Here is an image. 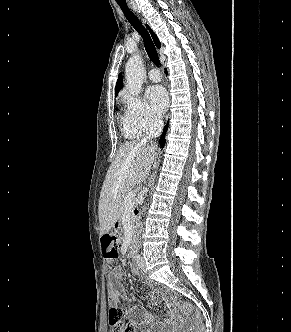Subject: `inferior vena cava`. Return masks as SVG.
<instances>
[{
	"label": "inferior vena cava",
	"instance_id": "inferior-vena-cava-1",
	"mask_svg": "<svg viewBox=\"0 0 291 332\" xmlns=\"http://www.w3.org/2000/svg\"><path fill=\"white\" fill-rule=\"evenodd\" d=\"M163 129V121L160 119L153 120L149 127V132L146 137L142 139L143 143H147L149 140L156 138L160 135Z\"/></svg>",
	"mask_w": 291,
	"mask_h": 332
}]
</instances>
